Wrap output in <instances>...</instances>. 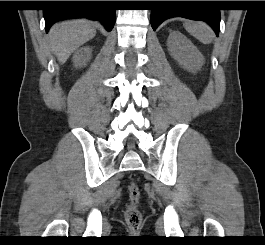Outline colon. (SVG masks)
<instances>
[{
    "label": "colon",
    "instance_id": "5ec220e1",
    "mask_svg": "<svg viewBox=\"0 0 265 245\" xmlns=\"http://www.w3.org/2000/svg\"><path fill=\"white\" fill-rule=\"evenodd\" d=\"M130 203L125 209V219L134 235L138 234L139 226L142 223V213L139 209L138 203L140 199V190L136 184L129 186Z\"/></svg>",
    "mask_w": 265,
    "mask_h": 245
}]
</instances>
